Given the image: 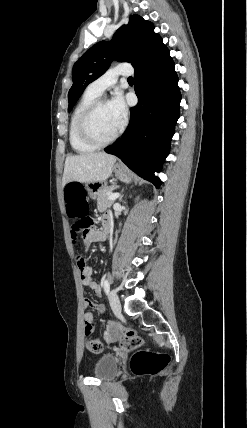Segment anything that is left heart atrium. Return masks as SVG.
Here are the masks:
<instances>
[{"label": "left heart atrium", "mask_w": 247, "mask_h": 428, "mask_svg": "<svg viewBox=\"0 0 247 428\" xmlns=\"http://www.w3.org/2000/svg\"><path fill=\"white\" fill-rule=\"evenodd\" d=\"M107 108L118 128L126 121L127 109L120 94L115 95L108 103Z\"/></svg>", "instance_id": "left-heart-atrium-1"}]
</instances>
